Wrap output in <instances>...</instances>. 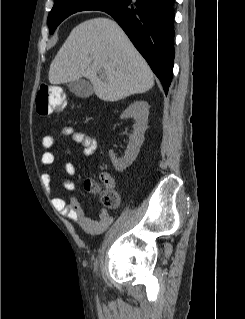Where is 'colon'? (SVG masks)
I'll list each match as a JSON object with an SVG mask.
<instances>
[{"label":"colon","mask_w":245,"mask_h":319,"mask_svg":"<svg viewBox=\"0 0 245 319\" xmlns=\"http://www.w3.org/2000/svg\"><path fill=\"white\" fill-rule=\"evenodd\" d=\"M65 106V95L61 88L55 85H41L38 88L36 99L37 113L43 116L50 115L54 111L62 110ZM85 186L89 190H96L97 186L93 181L88 180ZM102 205L107 209H115L119 204L118 195L107 190L101 193Z\"/></svg>","instance_id":"obj_1"}]
</instances>
